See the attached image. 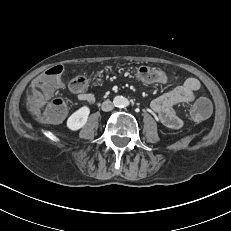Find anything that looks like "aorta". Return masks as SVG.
I'll list each match as a JSON object with an SVG mask.
<instances>
[{
	"mask_svg": "<svg viewBox=\"0 0 231 231\" xmlns=\"http://www.w3.org/2000/svg\"><path fill=\"white\" fill-rule=\"evenodd\" d=\"M125 101L126 99L123 96H116L113 102L116 107H121L125 104Z\"/></svg>",
	"mask_w": 231,
	"mask_h": 231,
	"instance_id": "762f6f07",
	"label": "aorta"
}]
</instances>
